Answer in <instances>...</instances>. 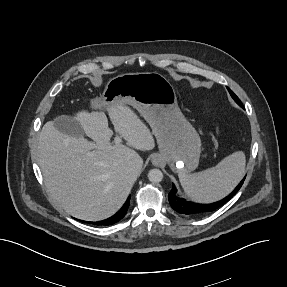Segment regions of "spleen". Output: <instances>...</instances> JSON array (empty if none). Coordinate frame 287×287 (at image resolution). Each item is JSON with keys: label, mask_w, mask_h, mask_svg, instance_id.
<instances>
[{"label": "spleen", "mask_w": 287, "mask_h": 287, "mask_svg": "<svg viewBox=\"0 0 287 287\" xmlns=\"http://www.w3.org/2000/svg\"><path fill=\"white\" fill-rule=\"evenodd\" d=\"M246 158L237 151L221 160L215 167L194 174H179L184 192L199 203H212L227 196L245 174Z\"/></svg>", "instance_id": "obj_1"}]
</instances>
